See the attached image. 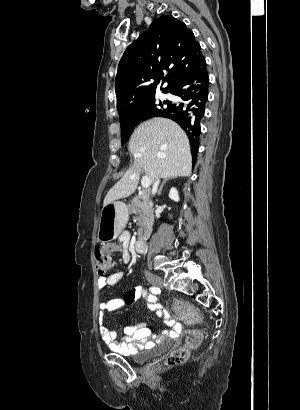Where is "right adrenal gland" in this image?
I'll return each instance as SVG.
<instances>
[{"label":"right adrenal gland","mask_w":300,"mask_h":410,"mask_svg":"<svg viewBox=\"0 0 300 410\" xmlns=\"http://www.w3.org/2000/svg\"><path fill=\"white\" fill-rule=\"evenodd\" d=\"M170 179H175V177H169V178H166V179L163 180L162 184H161L160 187H159L158 195H161L163 186L165 185L166 181H168V180H170Z\"/></svg>","instance_id":"1"}]
</instances>
